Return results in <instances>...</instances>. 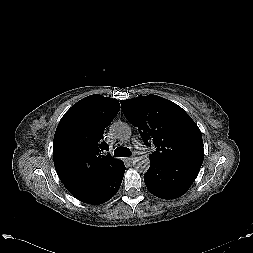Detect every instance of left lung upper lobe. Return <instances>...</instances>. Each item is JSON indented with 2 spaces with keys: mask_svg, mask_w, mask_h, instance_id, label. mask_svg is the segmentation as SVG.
I'll return each instance as SVG.
<instances>
[{
  "mask_svg": "<svg viewBox=\"0 0 253 253\" xmlns=\"http://www.w3.org/2000/svg\"><path fill=\"white\" fill-rule=\"evenodd\" d=\"M121 108L128 121L138 128L145 145L155 147L149 158L185 159L202 164L201 131L180 106L148 95L122 100Z\"/></svg>",
  "mask_w": 253,
  "mask_h": 253,
  "instance_id": "1",
  "label": "left lung upper lobe"
}]
</instances>
